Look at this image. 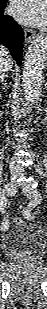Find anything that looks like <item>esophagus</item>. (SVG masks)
I'll list each match as a JSON object with an SVG mask.
<instances>
[{
  "instance_id": "obj_1",
  "label": "esophagus",
  "mask_w": 47,
  "mask_h": 309,
  "mask_svg": "<svg viewBox=\"0 0 47 309\" xmlns=\"http://www.w3.org/2000/svg\"><path fill=\"white\" fill-rule=\"evenodd\" d=\"M34 31L31 29H25L24 30V36H25V41L26 43H30L32 41V39L34 38Z\"/></svg>"
}]
</instances>
